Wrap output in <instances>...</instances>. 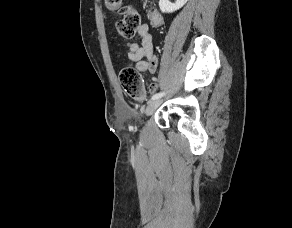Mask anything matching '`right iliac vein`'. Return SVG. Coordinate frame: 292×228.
I'll use <instances>...</instances> for the list:
<instances>
[{"instance_id":"1","label":"right iliac vein","mask_w":292,"mask_h":228,"mask_svg":"<svg viewBox=\"0 0 292 228\" xmlns=\"http://www.w3.org/2000/svg\"><path fill=\"white\" fill-rule=\"evenodd\" d=\"M160 102H161L160 100L151 101L146 108V115H151L159 106Z\"/></svg>"}]
</instances>
